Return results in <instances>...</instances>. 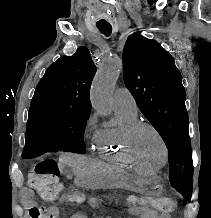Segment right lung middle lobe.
<instances>
[{
	"label": "right lung middle lobe",
	"mask_w": 211,
	"mask_h": 218,
	"mask_svg": "<svg viewBox=\"0 0 211 218\" xmlns=\"http://www.w3.org/2000/svg\"><path fill=\"white\" fill-rule=\"evenodd\" d=\"M90 110L55 106H31L26 140L45 146L72 145L85 153L84 130Z\"/></svg>",
	"instance_id": "dd1d6c3e"
}]
</instances>
